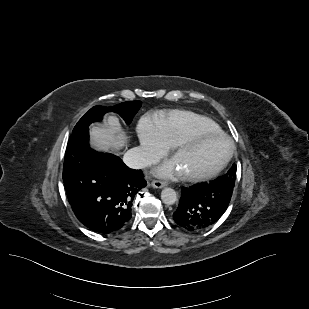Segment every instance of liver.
<instances>
[{"instance_id": "liver-1", "label": "liver", "mask_w": 309, "mask_h": 309, "mask_svg": "<svg viewBox=\"0 0 309 309\" xmlns=\"http://www.w3.org/2000/svg\"><path fill=\"white\" fill-rule=\"evenodd\" d=\"M90 135L92 146L99 151H118L128 142L118 118L113 115L106 118L104 127L92 126Z\"/></svg>"}]
</instances>
